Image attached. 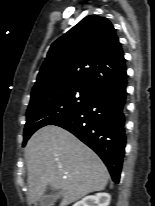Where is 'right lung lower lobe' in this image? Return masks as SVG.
Returning a JSON list of instances; mask_svg holds the SVG:
<instances>
[{
    "label": "right lung lower lobe",
    "mask_w": 155,
    "mask_h": 206,
    "mask_svg": "<svg viewBox=\"0 0 155 206\" xmlns=\"http://www.w3.org/2000/svg\"><path fill=\"white\" fill-rule=\"evenodd\" d=\"M127 74L99 90L95 98L71 116L53 124L73 133L93 149L118 183L126 144Z\"/></svg>",
    "instance_id": "right-lung-lower-lobe-1"
}]
</instances>
